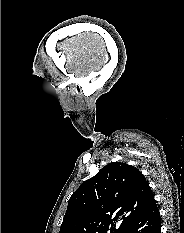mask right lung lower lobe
Instances as JSON below:
<instances>
[{
	"instance_id": "1",
	"label": "right lung lower lobe",
	"mask_w": 184,
	"mask_h": 233,
	"mask_svg": "<svg viewBox=\"0 0 184 233\" xmlns=\"http://www.w3.org/2000/svg\"><path fill=\"white\" fill-rule=\"evenodd\" d=\"M124 233H161V220L157 205L154 204Z\"/></svg>"
}]
</instances>
